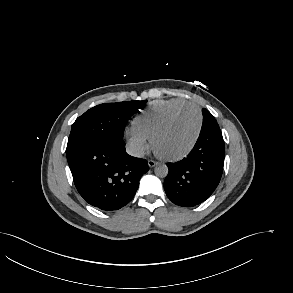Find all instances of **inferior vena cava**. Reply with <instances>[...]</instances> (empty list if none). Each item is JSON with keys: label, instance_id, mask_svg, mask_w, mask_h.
Segmentation results:
<instances>
[{"label": "inferior vena cava", "instance_id": "1", "mask_svg": "<svg viewBox=\"0 0 293 293\" xmlns=\"http://www.w3.org/2000/svg\"><path fill=\"white\" fill-rule=\"evenodd\" d=\"M126 151L129 155L142 158L145 155V150L141 146H127Z\"/></svg>", "mask_w": 293, "mask_h": 293}]
</instances>
